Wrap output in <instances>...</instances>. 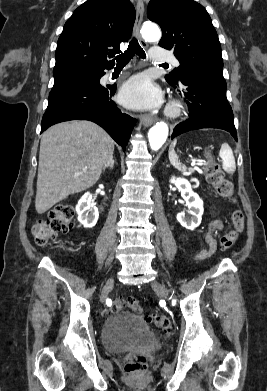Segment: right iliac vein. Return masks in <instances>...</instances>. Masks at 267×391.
<instances>
[{
    "mask_svg": "<svg viewBox=\"0 0 267 391\" xmlns=\"http://www.w3.org/2000/svg\"><path fill=\"white\" fill-rule=\"evenodd\" d=\"M113 284H114V278H113V277H110V278L106 281V283H105V285H104V287H103V289H102V291H101L100 300H101L102 302H103V301L105 300V298L107 297V295H108L110 289L113 287Z\"/></svg>",
    "mask_w": 267,
    "mask_h": 391,
    "instance_id": "obj_1",
    "label": "right iliac vein"
}]
</instances>
